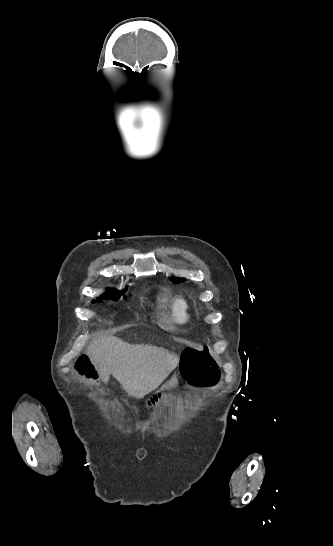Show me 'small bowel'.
Masks as SVG:
<instances>
[{"mask_svg": "<svg viewBox=\"0 0 333 546\" xmlns=\"http://www.w3.org/2000/svg\"><path fill=\"white\" fill-rule=\"evenodd\" d=\"M165 384L169 388H175L177 386V381L175 379H169Z\"/></svg>", "mask_w": 333, "mask_h": 546, "instance_id": "c3829d8e", "label": "small bowel"}]
</instances>
